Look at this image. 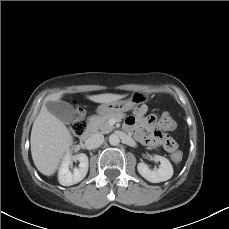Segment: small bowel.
Instances as JSON below:
<instances>
[{
	"mask_svg": "<svg viewBox=\"0 0 229 229\" xmlns=\"http://www.w3.org/2000/svg\"><path fill=\"white\" fill-rule=\"evenodd\" d=\"M164 117L171 119L167 114H164L163 118ZM172 124L174 127L168 130V132L175 129L176 125L173 120ZM157 127H160V123L157 122V117L153 114H148V108L144 105L138 107L125 122V128L133 134L134 138L149 148H157L161 144L153 133Z\"/></svg>",
	"mask_w": 229,
	"mask_h": 229,
	"instance_id": "1",
	"label": "small bowel"
}]
</instances>
